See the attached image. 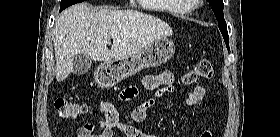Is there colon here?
I'll list each match as a JSON object with an SVG mask.
<instances>
[{
  "mask_svg": "<svg viewBox=\"0 0 280 137\" xmlns=\"http://www.w3.org/2000/svg\"><path fill=\"white\" fill-rule=\"evenodd\" d=\"M214 74V67L212 63L207 60L199 61L193 69H191L184 77V82L186 84H194L199 79H209ZM133 93L130 90H124L121 94V98L125 101L131 100L133 98ZM54 108L58 112L59 116L64 119H77L82 114L87 112V106L79 105L73 101L66 98L59 97L54 101ZM210 132H205L202 137H212Z\"/></svg>",
  "mask_w": 280,
  "mask_h": 137,
  "instance_id": "1",
  "label": "colon"
}]
</instances>
